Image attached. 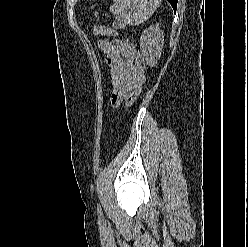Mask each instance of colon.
<instances>
[{"label":"colon","instance_id":"5ec220e1","mask_svg":"<svg viewBox=\"0 0 248 247\" xmlns=\"http://www.w3.org/2000/svg\"><path fill=\"white\" fill-rule=\"evenodd\" d=\"M93 32L96 35H104V36H117L116 33L111 30L110 28L100 25V24H95L93 27ZM135 65L137 69L143 74L146 69V63L144 58L141 56V54L137 57Z\"/></svg>","mask_w":248,"mask_h":247}]
</instances>
